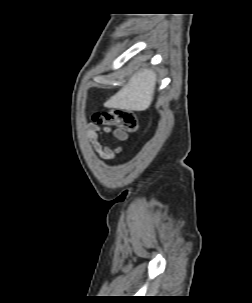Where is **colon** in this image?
<instances>
[{"instance_id": "1", "label": "colon", "mask_w": 252, "mask_h": 303, "mask_svg": "<svg viewBox=\"0 0 252 303\" xmlns=\"http://www.w3.org/2000/svg\"><path fill=\"white\" fill-rule=\"evenodd\" d=\"M93 122L100 126H114L127 133H136L139 129L138 119L130 110L99 111L94 114Z\"/></svg>"}]
</instances>
